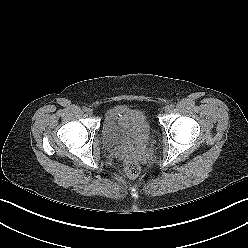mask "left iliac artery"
Segmentation results:
<instances>
[{
  "instance_id": "44dca946",
  "label": "left iliac artery",
  "mask_w": 248,
  "mask_h": 248,
  "mask_svg": "<svg viewBox=\"0 0 248 248\" xmlns=\"http://www.w3.org/2000/svg\"><path fill=\"white\" fill-rule=\"evenodd\" d=\"M170 107H171V108H174V107H175V105L172 103V104H170Z\"/></svg>"
}]
</instances>
